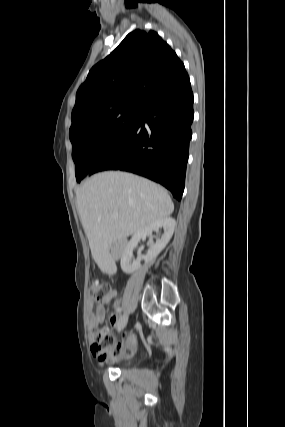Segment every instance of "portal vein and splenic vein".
<instances>
[{
    "instance_id": "portal-vein-and-splenic-vein-1",
    "label": "portal vein and splenic vein",
    "mask_w": 285,
    "mask_h": 427,
    "mask_svg": "<svg viewBox=\"0 0 285 427\" xmlns=\"http://www.w3.org/2000/svg\"><path fill=\"white\" fill-rule=\"evenodd\" d=\"M118 215V213L117 212H112L111 214H110V216L111 217H116Z\"/></svg>"
}]
</instances>
